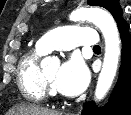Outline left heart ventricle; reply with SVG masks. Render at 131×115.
<instances>
[{
	"instance_id": "obj_1",
	"label": "left heart ventricle",
	"mask_w": 131,
	"mask_h": 115,
	"mask_svg": "<svg viewBox=\"0 0 131 115\" xmlns=\"http://www.w3.org/2000/svg\"><path fill=\"white\" fill-rule=\"evenodd\" d=\"M58 67H53L50 70L45 72L46 77L49 79L50 84L54 85L57 73H58Z\"/></svg>"
}]
</instances>
